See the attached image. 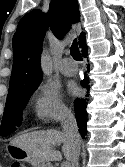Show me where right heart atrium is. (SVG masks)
I'll list each match as a JSON object with an SVG mask.
<instances>
[{"label":"right heart atrium","instance_id":"d8ad5b80","mask_svg":"<svg viewBox=\"0 0 125 167\" xmlns=\"http://www.w3.org/2000/svg\"><path fill=\"white\" fill-rule=\"evenodd\" d=\"M31 105L36 121L42 124L58 122L70 114L60 91L47 81L33 93Z\"/></svg>","mask_w":125,"mask_h":167}]
</instances>
